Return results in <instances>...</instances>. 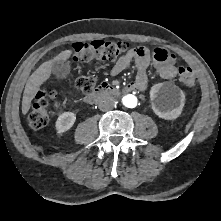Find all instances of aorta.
Returning a JSON list of instances; mask_svg holds the SVG:
<instances>
[{"label":"aorta","mask_w":221,"mask_h":221,"mask_svg":"<svg viewBox=\"0 0 221 221\" xmlns=\"http://www.w3.org/2000/svg\"><path fill=\"white\" fill-rule=\"evenodd\" d=\"M123 104L128 108H135L137 106V98L134 95H125L122 98Z\"/></svg>","instance_id":"1"}]
</instances>
